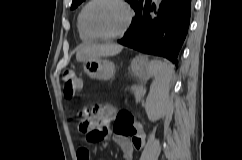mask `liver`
Returning <instances> with one entry per match:
<instances>
[{"instance_id": "obj_1", "label": "liver", "mask_w": 242, "mask_h": 160, "mask_svg": "<svg viewBox=\"0 0 242 160\" xmlns=\"http://www.w3.org/2000/svg\"><path fill=\"white\" fill-rule=\"evenodd\" d=\"M122 49L123 46L113 43L84 45L78 50L76 59L85 62L100 57L114 56L119 54Z\"/></svg>"}]
</instances>
